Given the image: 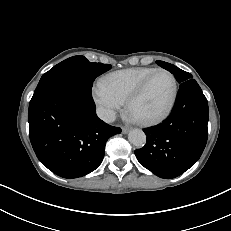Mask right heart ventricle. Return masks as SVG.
Returning a JSON list of instances; mask_svg holds the SVG:
<instances>
[{
    "label": "right heart ventricle",
    "mask_w": 231,
    "mask_h": 231,
    "mask_svg": "<svg viewBox=\"0 0 231 231\" xmlns=\"http://www.w3.org/2000/svg\"><path fill=\"white\" fill-rule=\"evenodd\" d=\"M155 68L137 67L112 72L101 79L100 85L122 103Z\"/></svg>",
    "instance_id": "e07e8e85"
}]
</instances>
